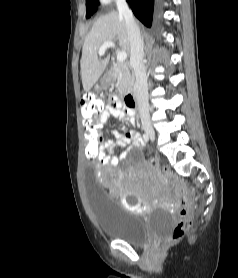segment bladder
<instances>
[{
    "instance_id": "1",
    "label": "bladder",
    "mask_w": 238,
    "mask_h": 278,
    "mask_svg": "<svg viewBox=\"0 0 238 278\" xmlns=\"http://www.w3.org/2000/svg\"><path fill=\"white\" fill-rule=\"evenodd\" d=\"M85 180H96L93 169H86ZM86 191L97 227L107 237L123 240L132 245H142L152 236L168 231L174 218L166 211L154 212L149 219L125 209L97 181H87Z\"/></svg>"
}]
</instances>
